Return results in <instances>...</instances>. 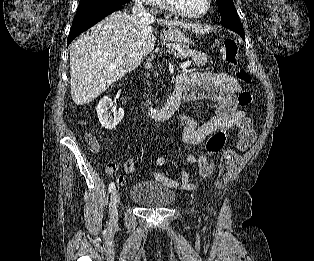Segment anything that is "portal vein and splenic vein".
<instances>
[{"label": "portal vein and splenic vein", "instance_id": "portal-vein-and-splenic-vein-1", "mask_svg": "<svg viewBox=\"0 0 314 261\" xmlns=\"http://www.w3.org/2000/svg\"><path fill=\"white\" fill-rule=\"evenodd\" d=\"M121 64H122V62H118V63H116V64L110 65V66L107 68V70L114 69V68L118 67V66L121 65ZM190 64H191V61L187 60V61L183 62V63L180 65V67H181L182 69H186V68H188V67L190 66Z\"/></svg>", "mask_w": 314, "mask_h": 261}]
</instances>
